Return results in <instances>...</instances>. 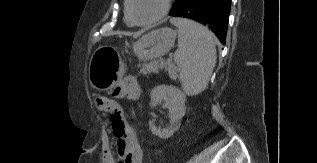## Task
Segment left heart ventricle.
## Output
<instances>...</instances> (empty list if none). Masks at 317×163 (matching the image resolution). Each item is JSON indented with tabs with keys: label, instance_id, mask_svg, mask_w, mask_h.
I'll use <instances>...</instances> for the list:
<instances>
[{
	"label": "left heart ventricle",
	"instance_id": "obj_1",
	"mask_svg": "<svg viewBox=\"0 0 317 163\" xmlns=\"http://www.w3.org/2000/svg\"><path fill=\"white\" fill-rule=\"evenodd\" d=\"M163 0H132L133 16L139 21H145L157 16L162 9Z\"/></svg>",
	"mask_w": 317,
	"mask_h": 163
}]
</instances>
